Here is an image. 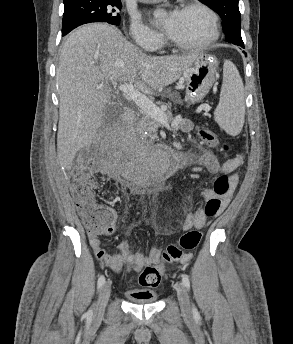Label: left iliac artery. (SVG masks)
Listing matches in <instances>:
<instances>
[{"label":"left iliac artery","instance_id":"left-iliac-artery-1","mask_svg":"<svg viewBox=\"0 0 293 344\" xmlns=\"http://www.w3.org/2000/svg\"><path fill=\"white\" fill-rule=\"evenodd\" d=\"M181 277H182V284L189 290L190 289L189 277L186 274H182ZM192 311H193L194 317L199 316V313L194 305L192 307Z\"/></svg>","mask_w":293,"mask_h":344}]
</instances>
